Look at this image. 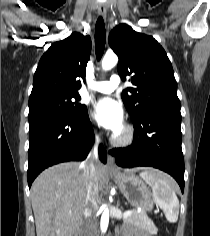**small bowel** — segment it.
I'll return each mask as SVG.
<instances>
[{"instance_id":"1","label":"small bowel","mask_w":210,"mask_h":236,"mask_svg":"<svg viewBox=\"0 0 210 236\" xmlns=\"http://www.w3.org/2000/svg\"><path fill=\"white\" fill-rule=\"evenodd\" d=\"M124 236H149V235L146 233H136L130 229H126L124 231Z\"/></svg>"}]
</instances>
